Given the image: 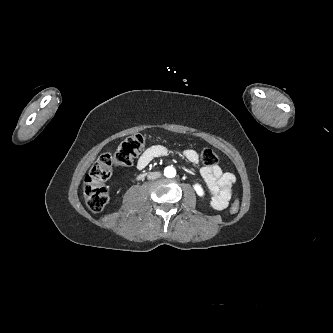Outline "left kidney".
Here are the masks:
<instances>
[{"label":"left kidney","mask_w":333,"mask_h":333,"mask_svg":"<svg viewBox=\"0 0 333 333\" xmlns=\"http://www.w3.org/2000/svg\"><path fill=\"white\" fill-rule=\"evenodd\" d=\"M193 187H194V190L196 191V193L199 196H203L204 195V190H203V188L201 187L200 184H195Z\"/></svg>","instance_id":"5707ae66"}]
</instances>
